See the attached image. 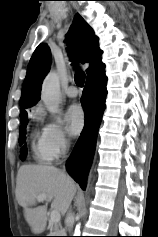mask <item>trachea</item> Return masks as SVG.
<instances>
[{
	"mask_svg": "<svg viewBox=\"0 0 158 237\" xmlns=\"http://www.w3.org/2000/svg\"><path fill=\"white\" fill-rule=\"evenodd\" d=\"M75 83L79 86V87H83L84 82H85V73L77 71L75 74Z\"/></svg>",
	"mask_w": 158,
	"mask_h": 237,
	"instance_id": "trachea-1",
	"label": "trachea"
}]
</instances>
